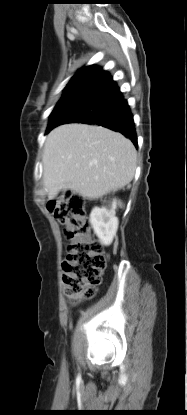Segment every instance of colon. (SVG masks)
Returning <instances> with one entry per match:
<instances>
[{"label":"colon","mask_w":187,"mask_h":415,"mask_svg":"<svg viewBox=\"0 0 187 415\" xmlns=\"http://www.w3.org/2000/svg\"><path fill=\"white\" fill-rule=\"evenodd\" d=\"M49 209L65 227L68 248L62 266L63 283L70 301L77 303L94 295L106 267V256L92 237L81 195L65 192Z\"/></svg>","instance_id":"colon-1"}]
</instances>
